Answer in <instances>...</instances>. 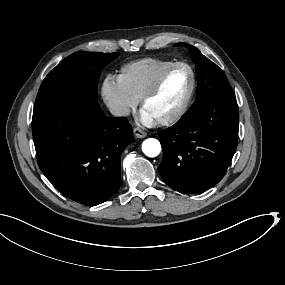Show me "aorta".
<instances>
[{"label":"aorta","instance_id":"1","mask_svg":"<svg viewBox=\"0 0 285 285\" xmlns=\"http://www.w3.org/2000/svg\"><path fill=\"white\" fill-rule=\"evenodd\" d=\"M142 151L148 157H156L161 152V145L157 139L149 138L142 143Z\"/></svg>","mask_w":285,"mask_h":285}]
</instances>
